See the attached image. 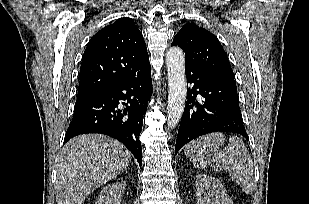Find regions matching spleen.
<instances>
[{
    "label": "spleen",
    "mask_w": 309,
    "mask_h": 204,
    "mask_svg": "<svg viewBox=\"0 0 309 204\" xmlns=\"http://www.w3.org/2000/svg\"><path fill=\"white\" fill-rule=\"evenodd\" d=\"M224 143L222 133H211L190 142L185 147V155L198 169L210 165L228 171L232 180L245 193L251 194L255 189L254 168L247 147L241 139L232 137L228 146L219 151Z\"/></svg>",
    "instance_id": "obj_1"
}]
</instances>
